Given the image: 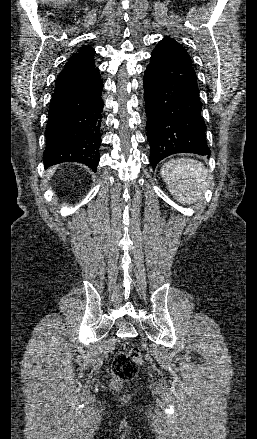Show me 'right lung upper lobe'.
<instances>
[{"instance_id":"right-lung-upper-lobe-1","label":"right lung upper lobe","mask_w":257,"mask_h":439,"mask_svg":"<svg viewBox=\"0 0 257 439\" xmlns=\"http://www.w3.org/2000/svg\"><path fill=\"white\" fill-rule=\"evenodd\" d=\"M94 54L95 50L90 46H84L73 54L60 73L56 85L75 80L95 69Z\"/></svg>"}]
</instances>
